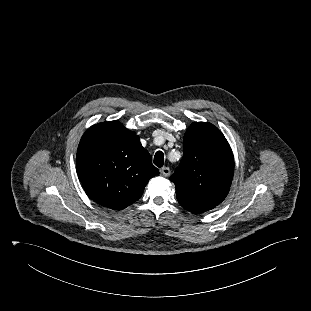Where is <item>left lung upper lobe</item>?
<instances>
[{
    "label": "left lung upper lobe",
    "mask_w": 311,
    "mask_h": 311,
    "mask_svg": "<svg viewBox=\"0 0 311 311\" xmlns=\"http://www.w3.org/2000/svg\"><path fill=\"white\" fill-rule=\"evenodd\" d=\"M234 159L223 133L209 122H195L183 139V158L170 177L176 192L197 201L219 205L233 178Z\"/></svg>",
    "instance_id": "1"
}]
</instances>
